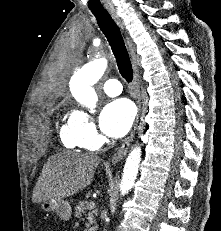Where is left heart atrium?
<instances>
[{"label":"left heart atrium","instance_id":"obj_1","mask_svg":"<svg viewBox=\"0 0 221 231\" xmlns=\"http://www.w3.org/2000/svg\"><path fill=\"white\" fill-rule=\"evenodd\" d=\"M134 119V108L126 99L109 102L102 110L99 125L102 132L112 138L123 137Z\"/></svg>","mask_w":221,"mask_h":231}]
</instances>
